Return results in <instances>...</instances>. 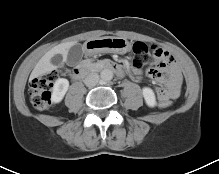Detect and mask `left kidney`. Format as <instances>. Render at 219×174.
<instances>
[{"label":"left kidney","mask_w":219,"mask_h":174,"mask_svg":"<svg viewBox=\"0 0 219 174\" xmlns=\"http://www.w3.org/2000/svg\"><path fill=\"white\" fill-rule=\"evenodd\" d=\"M142 94H143V97H144V100H145L146 104L149 107H155L156 106V97H155V94H154V92L151 88L144 87L142 89Z\"/></svg>","instance_id":"1"}]
</instances>
